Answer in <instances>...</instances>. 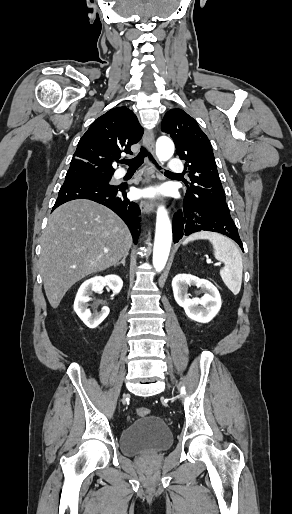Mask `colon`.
<instances>
[{
    "mask_svg": "<svg viewBox=\"0 0 292 514\" xmlns=\"http://www.w3.org/2000/svg\"><path fill=\"white\" fill-rule=\"evenodd\" d=\"M136 411V414L140 417V418H147L149 415H150V411L145 408V407H142V406H139L135 409Z\"/></svg>",
    "mask_w": 292,
    "mask_h": 514,
    "instance_id": "colon-1",
    "label": "colon"
}]
</instances>
